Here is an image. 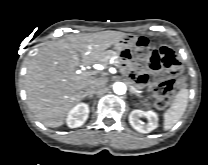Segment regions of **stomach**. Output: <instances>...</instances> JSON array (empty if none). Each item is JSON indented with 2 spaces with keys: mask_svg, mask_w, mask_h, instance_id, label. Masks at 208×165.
Here are the masks:
<instances>
[{
  "mask_svg": "<svg viewBox=\"0 0 208 165\" xmlns=\"http://www.w3.org/2000/svg\"><path fill=\"white\" fill-rule=\"evenodd\" d=\"M137 43V38L136 37H128L125 36L123 39L119 40L114 44V48L120 52L122 48H129L131 49L134 47Z\"/></svg>",
  "mask_w": 208,
  "mask_h": 165,
  "instance_id": "0dacf381",
  "label": "stomach"
}]
</instances>
